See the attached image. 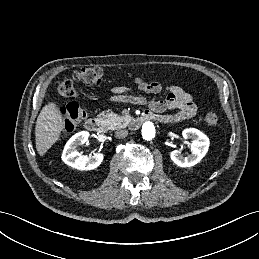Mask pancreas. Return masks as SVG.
Here are the masks:
<instances>
[{
	"mask_svg": "<svg viewBox=\"0 0 259 259\" xmlns=\"http://www.w3.org/2000/svg\"><path fill=\"white\" fill-rule=\"evenodd\" d=\"M106 125L110 130H116L119 128H125L129 125L131 117L129 116H119L114 112H106L100 115Z\"/></svg>",
	"mask_w": 259,
	"mask_h": 259,
	"instance_id": "1",
	"label": "pancreas"
}]
</instances>
